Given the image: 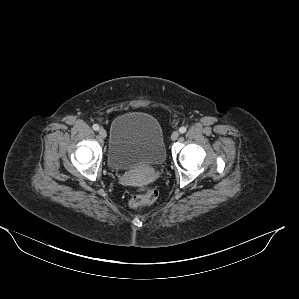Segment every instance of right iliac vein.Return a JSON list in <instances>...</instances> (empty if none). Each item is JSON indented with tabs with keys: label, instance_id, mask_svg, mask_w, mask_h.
<instances>
[{
	"label": "right iliac vein",
	"instance_id": "1",
	"mask_svg": "<svg viewBox=\"0 0 299 299\" xmlns=\"http://www.w3.org/2000/svg\"><path fill=\"white\" fill-rule=\"evenodd\" d=\"M99 135H100V137H102V138H106V136H107V132H106V130L103 129V128H101V129L99 130Z\"/></svg>",
	"mask_w": 299,
	"mask_h": 299
}]
</instances>
